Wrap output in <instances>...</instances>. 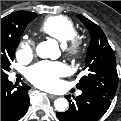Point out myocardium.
I'll use <instances>...</instances> for the list:
<instances>
[{
    "mask_svg": "<svg viewBox=\"0 0 121 121\" xmlns=\"http://www.w3.org/2000/svg\"><path fill=\"white\" fill-rule=\"evenodd\" d=\"M63 49L69 57L76 58L82 51L81 41L75 37L64 44Z\"/></svg>",
    "mask_w": 121,
    "mask_h": 121,
    "instance_id": "obj_1",
    "label": "myocardium"
}]
</instances>
